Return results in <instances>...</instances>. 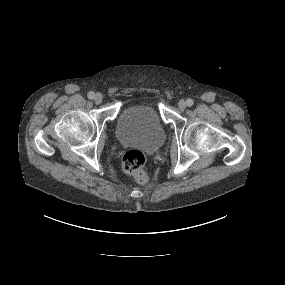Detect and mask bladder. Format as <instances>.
Masks as SVG:
<instances>
[{
	"mask_svg": "<svg viewBox=\"0 0 285 285\" xmlns=\"http://www.w3.org/2000/svg\"><path fill=\"white\" fill-rule=\"evenodd\" d=\"M116 135L121 142L137 144L149 152L156 151L165 140L160 116L150 104L125 108L117 119Z\"/></svg>",
	"mask_w": 285,
	"mask_h": 285,
	"instance_id": "1",
	"label": "bladder"
}]
</instances>
